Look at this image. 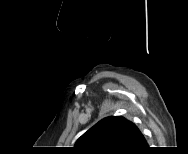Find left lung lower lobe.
Listing matches in <instances>:
<instances>
[{"instance_id":"1","label":"left lung lower lobe","mask_w":188,"mask_h":154,"mask_svg":"<svg viewBox=\"0 0 188 154\" xmlns=\"http://www.w3.org/2000/svg\"><path fill=\"white\" fill-rule=\"evenodd\" d=\"M146 145H147V142L143 134L138 128H136L130 151L139 150L141 148L146 147Z\"/></svg>"}]
</instances>
